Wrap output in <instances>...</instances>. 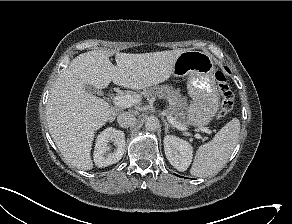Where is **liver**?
<instances>
[{
  "mask_svg": "<svg viewBox=\"0 0 292 224\" xmlns=\"http://www.w3.org/2000/svg\"><path fill=\"white\" fill-rule=\"evenodd\" d=\"M183 50L129 54L93 50L72 60L54 83L46 115L49 132L63 157L80 170H91V147L95 132L111 119L113 109L85 90L87 85L106 88L112 81L134 90L167 80Z\"/></svg>",
  "mask_w": 292,
  "mask_h": 224,
  "instance_id": "1",
  "label": "liver"
}]
</instances>
